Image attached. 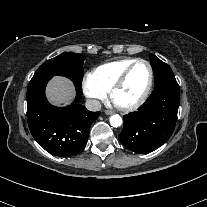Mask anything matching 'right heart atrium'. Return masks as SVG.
Instances as JSON below:
<instances>
[{
  "label": "right heart atrium",
  "instance_id": "d8ad5b80",
  "mask_svg": "<svg viewBox=\"0 0 207 207\" xmlns=\"http://www.w3.org/2000/svg\"><path fill=\"white\" fill-rule=\"evenodd\" d=\"M82 88L88 98L94 102L103 100L106 92L93 80L91 75H87L82 81Z\"/></svg>",
  "mask_w": 207,
  "mask_h": 207
}]
</instances>
